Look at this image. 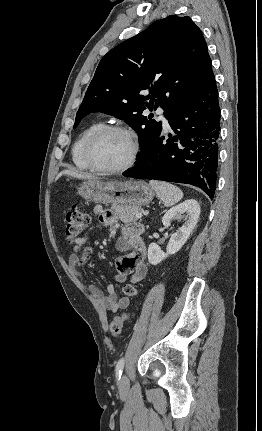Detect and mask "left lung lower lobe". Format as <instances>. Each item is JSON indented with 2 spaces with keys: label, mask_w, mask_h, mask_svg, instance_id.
Segmentation results:
<instances>
[{
  "label": "left lung lower lobe",
  "mask_w": 262,
  "mask_h": 431,
  "mask_svg": "<svg viewBox=\"0 0 262 431\" xmlns=\"http://www.w3.org/2000/svg\"><path fill=\"white\" fill-rule=\"evenodd\" d=\"M174 135L161 132L124 176L185 183L215 194L220 108L215 79L169 115Z\"/></svg>",
  "instance_id": "left-lung-lower-lobe-1"
}]
</instances>
